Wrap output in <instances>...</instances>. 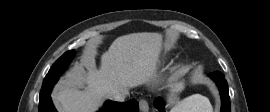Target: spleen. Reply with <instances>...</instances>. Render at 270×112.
Returning <instances> with one entry per match:
<instances>
[{
  "mask_svg": "<svg viewBox=\"0 0 270 112\" xmlns=\"http://www.w3.org/2000/svg\"><path fill=\"white\" fill-rule=\"evenodd\" d=\"M170 112H213L209 99L195 94L180 101Z\"/></svg>",
  "mask_w": 270,
  "mask_h": 112,
  "instance_id": "1",
  "label": "spleen"
}]
</instances>
